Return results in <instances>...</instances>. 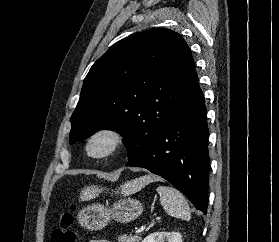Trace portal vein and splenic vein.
Segmentation results:
<instances>
[{"label": "portal vein and splenic vein", "instance_id": "obj_1", "mask_svg": "<svg viewBox=\"0 0 279 242\" xmlns=\"http://www.w3.org/2000/svg\"><path fill=\"white\" fill-rule=\"evenodd\" d=\"M144 230H145V227H142V228L136 230V234L140 235Z\"/></svg>", "mask_w": 279, "mask_h": 242}]
</instances>
